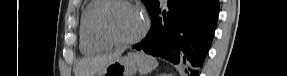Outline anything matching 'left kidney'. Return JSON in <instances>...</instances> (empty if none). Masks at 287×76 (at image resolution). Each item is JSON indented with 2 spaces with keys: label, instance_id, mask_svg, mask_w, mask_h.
<instances>
[{
  "label": "left kidney",
  "instance_id": "1",
  "mask_svg": "<svg viewBox=\"0 0 287 76\" xmlns=\"http://www.w3.org/2000/svg\"><path fill=\"white\" fill-rule=\"evenodd\" d=\"M160 76H168V75L164 73V74H161Z\"/></svg>",
  "mask_w": 287,
  "mask_h": 76
}]
</instances>
